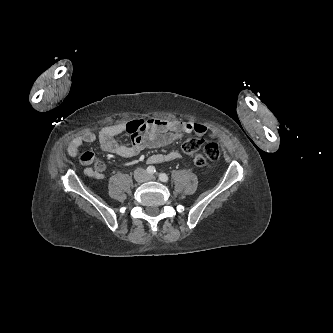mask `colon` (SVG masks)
I'll return each instance as SVG.
<instances>
[{
	"label": "colon",
	"mask_w": 333,
	"mask_h": 333,
	"mask_svg": "<svg viewBox=\"0 0 333 333\" xmlns=\"http://www.w3.org/2000/svg\"><path fill=\"white\" fill-rule=\"evenodd\" d=\"M203 142L198 137H191L186 140L182 146L183 151L187 155L193 156L194 163L198 167H204L209 162L215 163L220 159V148L216 143H207L204 147L203 154H198V150L201 148Z\"/></svg>",
	"instance_id": "5ec220e1"
}]
</instances>
